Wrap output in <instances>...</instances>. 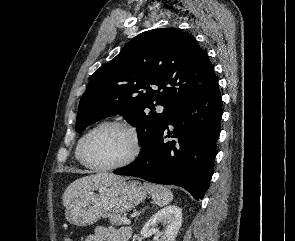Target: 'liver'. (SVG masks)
I'll return each mask as SVG.
<instances>
[{
	"label": "liver",
	"mask_w": 295,
	"mask_h": 241,
	"mask_svg": "<svg viewBox=\"0 0 295 241\" xmlns=\"http://www.w3.org/2000/svg\"><path fill=\"white\" fill-rule=\"evenodd\" d=\"M120 180L124 178L111 173H97L79 178L66 188L62 198L63 205L68 207L74 198Z\"/></svg>",
	"instance_id": "1"
}]
</instances>
